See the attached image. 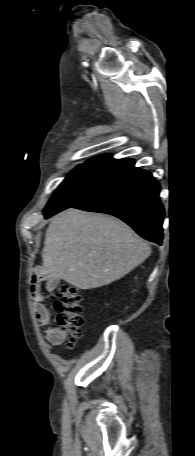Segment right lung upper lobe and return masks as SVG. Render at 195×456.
<instances>
[{"label":"right lung upper lobe","mask_w":195,"mask_h":456,"mask_svg":"<svg viewBox=\"0 0 195 456\" xmlns=\"http://www.w3.org/2000/svg\"><path fill=\"white\" fill-rule=\"evenodd\" d=\"M86 163L102 167L118 168L124 171L134 166L135 161L133 159H113L111 155L105 154L94 157L88 160Z\"/></svg>","instance_id":"cb5924a9"}]
</instances>
